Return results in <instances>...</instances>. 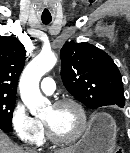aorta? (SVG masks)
Instances as JSON below:
<instances>
[{
  "label": "aorta",
  "mask_w": 130,
  "mask_h": 153,
  "mask_svg": "<svg viewBox=\"0 0 130 153\" xmlns=\"http://www.w3.org/2000/svg\"><path fill=\"white\" fill-rule=\"evenodd\" d=\"M56 62L57 58L54 53L42 52L26 66L21 75L20 95L32 115L43 113L50 105V101L40 92L39 82Z\"/></svg>",
  "instance_id": "762f6f07"
}]
</instances>
